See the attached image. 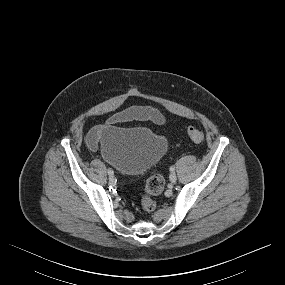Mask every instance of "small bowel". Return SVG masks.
<instances>
[{"label":"small bowel","instance_id":"small-bowel-1","mask_svg":"<svg viewBox=\"0 0 285 285\" xmlns=\"http://www.w3.org/2000/svg\"><path fill=\"white\" fill-rule=\"evenodd\" d=\"M129 120L151 121L157 125H163L166 123L165 116L159 110L149 106H135L128 108L114 114L108 122L110 124H114ZM101 130L102 127L97 126L93 128L87 135L86 145L89 149H97L101 137Z\"/></svg>","mask_w":285,"mask_h":285}]
</instances>
